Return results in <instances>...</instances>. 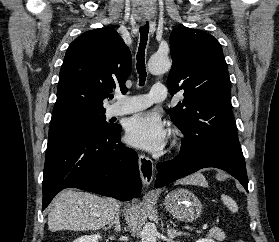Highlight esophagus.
I'll return each instance as SVG.
<instances>
[{
    "mask_svg": "<svg viewBox=\"0 0 279 242\" xmlns=\"http://www.w3.org/2000/svg\"><path fill=\"white\" fill-rule=\"evenodd\" d=\"M139 170L144 186H149L154 176V164L152 159L141 154L139 155Z\"/></svg>",
    "mask_w": 279,
    "mask_h": 242,
    "instance_id": "obj_1",
    "label": "esophagus"
}]
</instances>
